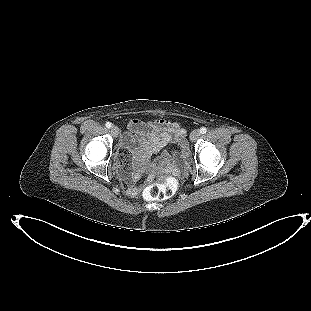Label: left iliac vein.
Masks as SVG:
<instances>
[{
	"mask_svg": "<svg viewBox=\"0 0 311 311\" xmlns=\"http://www.w3.org/2000/svg\"><path fill=\"white\" fill-rule=\"evenodd\" d=\"M199 136H200V131L197 130V129H195V130H193V131L191 132V134H190V140H191L192 142H194V141H196V140L199 138Z\"/></svg>",
	"mask_w": 311,
	"mask_h": 311,
	"instance_id": "left-iliac-vein-1",
	"label": "left iliac vein"
}]
</instances>
